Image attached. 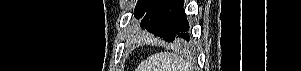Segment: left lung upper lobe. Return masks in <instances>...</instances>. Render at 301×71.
Returning a JSON list of instances; mask_svg holds the SVG:
<instances>
[{"instance_id":"5c2ea615","label":"left lung upper lobe","mask_w":301,"mask_h":71,"mask_svg":"<svg viewBox=\"0 0 301 71\" xmlns=\"http://www.w3.org/2000/svg\"><path fill=\"white\" fill-rule=\"evenodd\" d=\"M159 0H138L134 9V16L136 19H141L150 11Z\"/></svg>"}]
</instances>
